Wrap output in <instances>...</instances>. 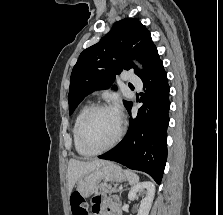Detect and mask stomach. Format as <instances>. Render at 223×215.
Instances as JSON below:
<instances>
[{"label":"stomach","mask_w":223,"mask_h":215,"mask_svg":"<svg viewBox=\"0 0 223 215\" xmlns=\"http://www.w3.org/2000/svg\"><path fill=\"white\" fill-rule=\"evenodd\" d=\"M101 179H110L121 183V181H127V175L120 165H117L114 161H105L94 171L84 173L82 177H79L75 190L80 193V197H89L96 189L94 184Z\"/></svg>","instance_id":"obj_1"}]
</instances>
